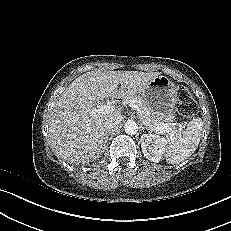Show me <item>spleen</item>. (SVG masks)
<instances>
[{
	"instance_id": "1",
	"label": "spleen",
	"mask_w": 231,
	"mask_h": 231,
	"mask_svg": "<svg viewBox=\"0 0 231 231\" xmlns=\"http://www.w3.org/2000/svg\"><path fill=\"white\" fill-rule=\"evenodd\" d=\"M202 129V119L194 118L183 132L170 136L163 147L166 160L171 164H178L190 157L198 148Z\"/></svg>"
}]
</instances>
